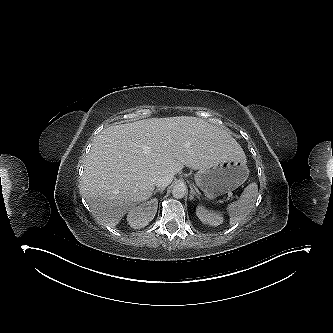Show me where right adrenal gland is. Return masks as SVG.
<instances>
[{
    "mask_svg": "<svg viewBox=\"0 0 333 333\" xmlns=\"http://www.w3.org/2000/svg\"><path fill=\"white\" fill-rule=\"evenodd\" d=\"M164 190H165V188H158V189H156L153 193H154V195H155L157 192L163 193Z\"/></svg>",
    "mask_w": 333,
    "mask_h": 333,
    "instance_id": "1",
    "label": "right adrenal gland"
}]
</instances>
